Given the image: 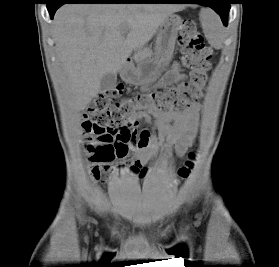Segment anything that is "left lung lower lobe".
Listing matches in <instances>:
<instances>
[{"mask_svg":"<svg viewBox=\"0 0 279 267\" xmlns=\"http://www.w3.org/2000/svg\"><path fill=\"white\" fill-rule=\"evenodd\" d=\"M157 3H198L205 4L214 9L221 17L223 24L227 25L230 10V0H158Z\"/></svg>","mask_w":279,"mask_h":267,"instance_id":"0a47b994","label":"left lung lower lobe"}]
</instances>
